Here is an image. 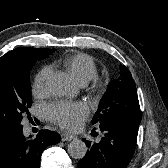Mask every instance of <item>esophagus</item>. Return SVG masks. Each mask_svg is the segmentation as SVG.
Returning a JSON list of instances; mask_svg holds the SVG:
<instances>
[{"mask_svg": "<svg viewBox=\"0 0 168 168\" xmlns=\"http://www.w3.org/2000/svg\"><path fill=\"white\" fill-rule=\"evenodd\" d=\"M76 137L74 135L68 134V133H63L61 135V140L62 141H71L73 139H75Z\"/></svg>", "mask_w": 168, "mask_h": 168, "instance_id": "obj_1", "label": "esophagus"}]
</instances>
